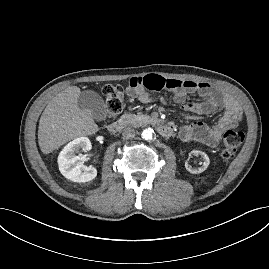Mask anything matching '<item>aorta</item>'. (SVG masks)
<instances>
[{
	"label": "aorta",
	"mask_w": 269,
	"mask_h": 269,
	"mask_svg": "<svg viewBox=\"0 0 269 269\" xmlns=\"http://www.w3.org/2000/svg\"><path fill=\"white\" fill-rule=\"evenodd\" d=\"M142 138L144 140H151L152 137H153V129L151 128H146L142 131V134H141Z\"/></svg>",
	"instance_id": "1"
}]
</instances>
